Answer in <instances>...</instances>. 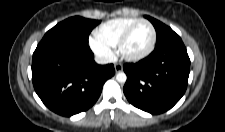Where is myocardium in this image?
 Instances as JSON below:
<instances>
[{"mask_svg": "<svg viewBox=\"0 0 225 132\" xmlns=\"http://www.w3.org/2000/svg\"><path fill=\"white\" fill-rule=\"evenodd\" d=\"M140 23H146L150 26L151 31H152L151 41H150L148 47L143 52L136 54V55H129L124 51V46H125L127 40L129 39L132 31L134 30V28ZM156 36H157L156 29L149 20L138 19L135 22H133L121 35V37L117 43V51H118L119 55L121 56V58L126 61H129V62L140 61V60L144 59L145 57H147L153 51L155 44H156Z\"/></svg>", "mask_w": 225, "mask_h": 132, "instance_id": "myocardium-1", "label": "myocardium"}]
</instances>
